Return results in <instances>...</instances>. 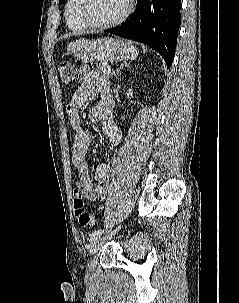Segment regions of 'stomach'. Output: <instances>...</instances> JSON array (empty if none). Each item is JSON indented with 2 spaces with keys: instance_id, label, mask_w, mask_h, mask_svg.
I'll list each match as a JSON object with an SVG mask.
<instances>
[{
  "instance_id": "0dacf381",
  "label": "stomach",
  "mask_w": 239,
  "mask_h": 303,
  "mask_svg": "<svg viewBox=\"0 0 239 303\" xmlns=\"http://www.w3.org/2000/svg\"><path fill=\"white\" fill-rule=\"evenodd\" d=\"M67 50L77 59L95 60L105 64L122 59L127 55L126 44L120 39L109 37L94 40L78 39L71 42Z\"/></svg>"
}]
</instances>
